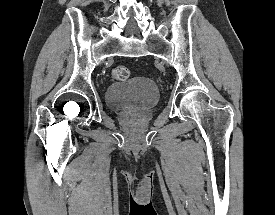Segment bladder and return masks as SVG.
<instances>
[{
    "instance_id": "1",
    "label": "bladder",
    "mask_w": 275,
    "mask_h": 215,
    "mask_svg": "<svg viewBox=\"0 0 275 215\" xmlns=\"http://www.w3.org/2000/svg\"><path fill=\"white\" fill-rule=\"evenodd\" d=\"M159 90L149 78L134 77L113 82L105 90V102L113 110H143L155 106Z\"/></svg>"
}]
</instances>
